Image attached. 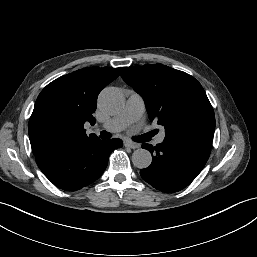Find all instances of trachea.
<instances>
[{"mask_svg": "<svg viewBox=\"0 0 257 257\" xmlns=\"http://www.w3.org/2000/svg\"><path fill=\"white\" fill-rule=\"evenodd\" d=\"M111 136L112 135L107 131H101V133H100V138L101 139H109V138H111Z\"/></svg>", "mask_w": 257, "mask_h": 257, "instance_id": "1", "label": "trachea"}]
</instances>
